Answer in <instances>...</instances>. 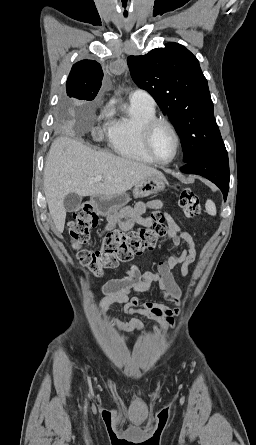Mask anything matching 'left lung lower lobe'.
Instances as JSON below:
<instances>
[{"instance_id":"1","label":"left lung lower lobe","mask_w":256,"mask_h":445,"mask_svg":"<svg viewBox=\"0 0 256 445\" xmlns=\"http://www.w3.org/2000/svg\"><path fill=\"white\" fill-rule=\"evenodd\" d=\"M181 172L204 176L215 183L222 191L224 200L229 190V163L227 152L206 154L186 163Z\"/></svg>"}]
</instances>
